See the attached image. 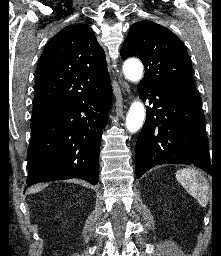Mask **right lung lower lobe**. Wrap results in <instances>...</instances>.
<instances>
[{"label":"right lung lower lobe","instance_id":"obj_1","mask_svg":"<svg viewBox=\"0 0 221 256\" xmlns=\"http://www.w3.org/2000/svg\"><path fill=\"white\" fill-rule=\"evenodd\" d=\"M111 99L110 85L99 94L32 118L26 188L70 178L98 183L101 135Z\"/></svg>","mask_w":221,"mask_h":256}]
</instances>
